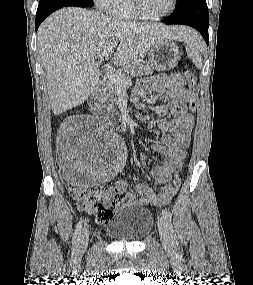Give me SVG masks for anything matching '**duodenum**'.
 <instances>
[{"label":"duodenum","instance_id":"obj_1","mask_svg":"<svg viewBox=\"0 0 253 285\" xmlns=\"http://www.w3.org/2000/svg\"><path fill=\"white\" fill-rule=\"evenodd\" d=\"M103 83H100L95 91L91 94L88 99V104L93 112V114L98 118H103L110 121L113 124H117L119 117L117 114L113 112H107L102 104V90H103Z\"/></svg>","mask_w":253,"mask_h":285}]
</instances>
